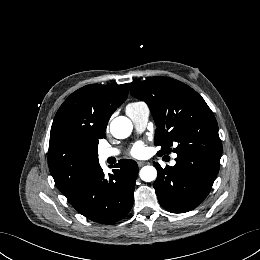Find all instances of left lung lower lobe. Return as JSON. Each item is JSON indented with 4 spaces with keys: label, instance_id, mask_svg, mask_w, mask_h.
<instances>
[{
    "label": "left lung lower lobe",
    "instance_id": "left-lung-lower-lobe-1",
    "mask_svg": "<svg viewBox=\"0 0 260 260\" xmlns=\"http://www.w3.org/2000/svg\"><path fill=\"white\" fill-rule=\"evenodd\" d=\"M173 167L154 163L158 176L154 188L163 208L184 213L197 207L209 194L219 171L221 154L187 151L177 154Z\"/></svg>",
    "mask_w": 260,
    "mask_h": 260
}]
</instances>
